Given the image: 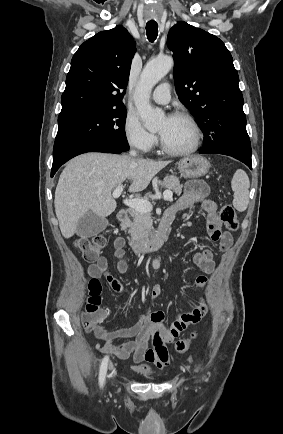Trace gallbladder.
Instances as JSON below:
<instances>
[{"label":"gallbladder","instance_id":"obj_1","mask_svg":"<svg viewBox=\"0 0 283 434\" xmlns=\"http://www.w3.org/2000/svg\"><path fill=\"white\" fill-rule=\"evenodd\" d=\"M108 225L106 218L99 217L89 211L78 222L76 233L82 238H88L104 231Z\"/></svg>","mask_w":283,"mask_h":434}]
</instances>
